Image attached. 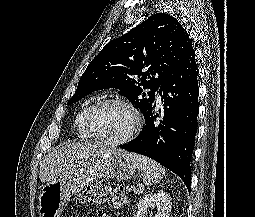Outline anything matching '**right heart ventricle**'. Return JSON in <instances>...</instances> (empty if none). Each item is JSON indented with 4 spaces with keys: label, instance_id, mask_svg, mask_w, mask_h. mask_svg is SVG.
<instances>
[{
    "label": "right heart ventricle",
    "instance_id": "1",
    "mask_svg": "<svg viewBox=\"0 0 255 217\" xmlns=\"http://www.w3.org/2000/svg\"><path fill=\"white\" fill-rule=\"evenodd\" d=\"M88 107L89 106L83 107L76 115V118L74 121V125L77 130L78 137H80L82 139H87V140L93 138L91 136V134L88 132V130L85 126V121H84L85 113H86Z\"/></svg>",
    "mask_w": 255,
    "mask_h": 217
}]
</instances>
